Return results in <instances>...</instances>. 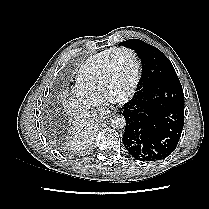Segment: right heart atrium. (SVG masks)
<instances>
[{
    "label": "right heart atrium",
    "instance_id": "d8ad5b80",
    "mask_svg": "<svg viewBox=\"0 0 209 209\" xmlns=\"http://www.w3.org/2000/svg\"><path fill=\"white\" fill-rule=\"evenodd\" d=\"M74 94H75L76 98L82 104H84L87 107L95 106V105H97L99 103V99L96 96H94V95H92V94H90V93H88L86 91H83L80 88H76L74 90Z\"/></svg>",
    "mask_w": 209,
    "mask_h": 209
}]
</instances>
